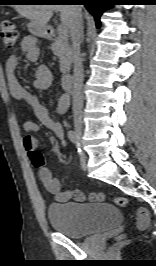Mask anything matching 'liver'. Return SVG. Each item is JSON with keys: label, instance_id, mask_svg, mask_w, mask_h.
<instances>
[{"label": "liver", "instance_id": "6515ba94", "mask_svg": "<svg viewBox=\"0 0 156 266\" xmlns=\"http://www.w3.org/2000/svg\"><path fill=\"white\" fill-rule=\"evenodd\" d=\"M81 9V7H79ZM17 11L31 20L32 25L45 29L54 11L60 12V19L70 30L73 17L72 5H20Z\"/></svg>", "mask_w": 156, "mask_h": 266}]
</instances>
